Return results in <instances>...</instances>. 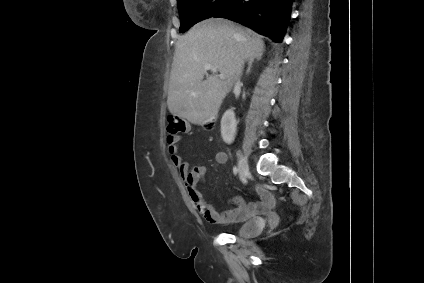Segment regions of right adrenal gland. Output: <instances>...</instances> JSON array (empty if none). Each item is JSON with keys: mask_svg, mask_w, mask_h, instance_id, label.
<instances>
[{"mask_svg": "<svg viewBox=\"0 0 424 283\" xmlns=\"http://www.w3.org/2000/svg\"><path fill=\"white\" fill-rule=\"evenodd\" d=\"M262 55H263V52H260V53H258V54H256V55H254L251 59H250V61H249V63H248V68H247V70H246V74H249L250 73V70H251V67H252V64H253V62L256 60V61H259V60H261L262 59Z\"/></svg>", "mask_w": 424, "mask_h": 283, "instance_id": "1", "label": "right adrenal gland"}]
</instances>
